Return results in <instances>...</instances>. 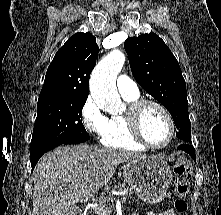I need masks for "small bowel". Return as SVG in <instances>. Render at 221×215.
Instances as JSON below:
<instances>
[{
	"label": "small bowel",
	"instance_id": "small-bowel-1",
	"mask_svg": "<svg viewBox=\"0 0 221 215\" xmlns=\"http://www.w3.org/2000/svg\"><path fill=\"white\" fill-rule=\"evenodd\" d=\"M147 215H176L173 210H166L162 212H149Z\"/></svg>",
	"mask_w": 221,
	"mask_h": 215
}]
</instances>
